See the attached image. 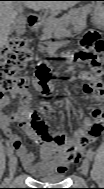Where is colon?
Masks as SVG:
<instances>
[{
	"label": "colon",
	"instance_id": "1",
	"mask_svg": "<svg viewBox=\"0 0 104 189\" xmlns=\"http://www.w3.org/2000/svg\"><path fill=\"white\" fill-rule=\"evenodd\" d=\"M82 49L77 53L76 58L92 64L95 70H100L99 55L104 50V42L94 30L85 33L81 41ZM34 59V51L26 39L12 37L3 51V58L0 65V93L2 97L7 94L17 93L35 83L43 94L50 93V81L52 70L47 64H40L30 78L21 75V72ZM100 115L99 110H94V116ZM33 129L43 140L51 138L48 125L43 120H33Z\"/></svg>",
	"mask_w": 104,
	"mask_h": 189
}]
</instances>
